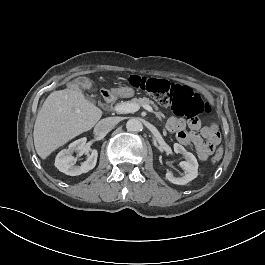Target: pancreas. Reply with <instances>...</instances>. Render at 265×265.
<instances>
[{"mask_svg":"<svg viewBox=\"0 0 265 265\" xmlns=\"http://www.w3.org/2000/svg\"><path fill=\"white\" fill-rule=\"evenodd\" d=\"M131 103L136 104L139 107L152 106L156 111L160 112L159 106L153 100L146 97L142 99L134 98Z\"/></svg>","mask_w":265,"mask_h":265,"instance_id":"obj_1","label":"pancreas"}]
</instances>
